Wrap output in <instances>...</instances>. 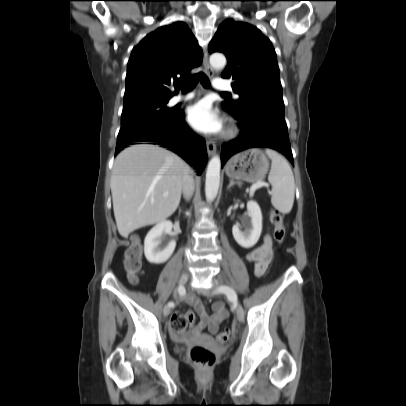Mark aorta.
<instances>
[{"label":"aorta","instance_id":"1","mask_svg":"<svg viewBox=\"0 0 406 406\" xmlns=\"http://www.w3.org/2000/svg\"><path fill=\"white\" fill-rule=\"evenodd\" d=\"M210 64L213 69L221 70L226 65V58L221 53H214L210 56ZM220 169V157L215 155L209 161L206 171L205 195L208 201H213L217 196L220 184Z\"/></svg>","mask_w":406,"mask_h":406}]
</instances>
